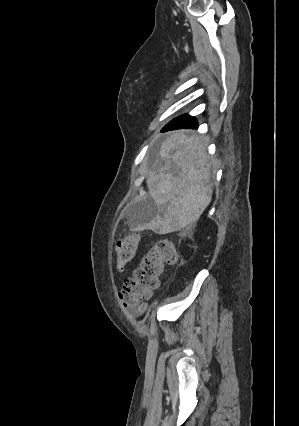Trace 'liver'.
<instances>
[{"label": "liver", "instance_id": "obj_1", "mask_svg": "<svg viewBox=\"0 0 299 426\" xmlns=\"http://www.w3.org/2000/svg\"><path fill=\"white\" fill-rule=\"evenodd\" d=\"M207 140L185 131L170 133L160 147V161L146 172L149 196L158 213L143 228L159 234L177 231L199 219L213 194V161L206 153ZM164 164V165H163ZM180 169L177 176L171 165Z\"/></svg>", "mask_w": 299, "mask_h": 426}]
</instances>
